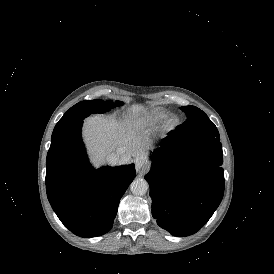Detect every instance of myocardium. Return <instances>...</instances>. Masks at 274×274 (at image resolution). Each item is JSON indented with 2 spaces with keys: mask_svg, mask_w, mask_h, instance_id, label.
<instances>
[{
  "mask_svg": "<svg viewBox=\"0 0 274 274\" xmlns=\"http://www.w3.org/2000/svg\"><path fill=\"white\" fill-rule=\"evenodd\" d=\"M182 122V116L178 113H169L166 115L159 128L161 137L178 130L181 127Z\"/></svg>",
  "mask_w": 274,
  "mask_h": 274,
  "instance_id": "f54148a6",
  "label": "myocardium"
}]
</instances>
